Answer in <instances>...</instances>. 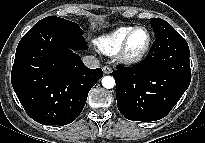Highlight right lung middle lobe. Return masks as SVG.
<instances>
[{
	"mask_svg": "<svg viewBox=\"0 0 205 143\" xmlns=\"http://www.w3.org/2000/svg\"><path fill=\"white\" fill-rule=\"evenodd\" d=\"M40 23H44V22H53L55 24H58L62 27H65L77 34L83 35V31L81 30L80 26L72 21L60 18V17H56V16H49L46 17L42 20L39 21Z\"/></svg>",
	"mask_w": 205,
	"mask_h": 143,
	"instance_id": "dd1d6c3e",
	"label": "right lung middle lobe"
}]
</instances>
